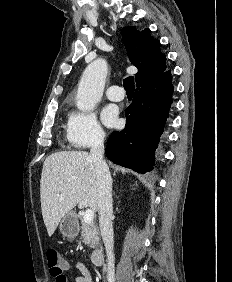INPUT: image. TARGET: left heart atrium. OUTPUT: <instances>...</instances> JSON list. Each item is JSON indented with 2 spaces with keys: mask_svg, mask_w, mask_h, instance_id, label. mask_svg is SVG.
<instances>
[{
  "mask_svg": "<svg viewBox=\"0 0 232 282\" xmlns=\"http://www.w3.org/2000/svg\"><path fill=\"white\" fill-rule=\"evenodd\" d=\"M102 121L108 127L115 126L118 122V112L113 106H106L102 111Z\"/></svg>",
  "mask_w": 232,
  "mask_h": 282,
  "instance_id": "obj_1",
  "label": "left heart atrium"
}]
</instances>
